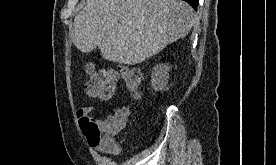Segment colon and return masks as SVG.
<instances>
[{
  "label": "colon",
  "mask_w": 276,
  "mask_h": 165,
  "mask_svg": "<svg viewBox=\"0 0 276 165\" xmlns=\"http://www.w3.org/2000/svg\"><path fill=\"white\" fill-rule=\"evenodd\" d=\"M87 75L86 92L91 97L102 101L111 100L116 94L119 77L123 79L126 87L135 97L139 95L141 73L134 68L121 67L119 70L104 69L97 71L92 65H88ZM128 116V110L117 111L107 122V125H104L92 116L87 115L80 119V125L90 145L104 144L109 149L116 150L117 144L113 137L125 127Z\"/></svg>",
  "instance_id": "1"
}]
</instances>
